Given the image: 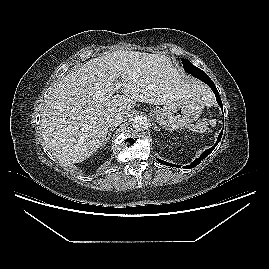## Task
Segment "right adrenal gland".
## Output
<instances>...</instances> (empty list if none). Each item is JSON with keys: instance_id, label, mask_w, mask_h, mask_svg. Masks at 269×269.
<instances>
[{"instance_id": "obj_1", "label": "right adrenal gland", "mask_w": 269, "mask_h": 269, "mask_svg": "<svg viewBox=\"0 0 269 269\" xmlns=\"http://www.w3.org/2000/svg\"><path fill=\"white\" fill-rule=\"evenodd\" d=\"M115 130V128H111L108 132L107 138L105 139L104 145L107 144V142L110 140L111 138V134L112 132Z\"/></svg>"}]
</instances>
